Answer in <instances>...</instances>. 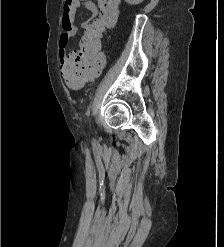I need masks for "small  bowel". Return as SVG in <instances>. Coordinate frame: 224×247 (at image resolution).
<instances>
[{"instance_id":"small-bowel-1","label":"small bowel","mask_w":224,"mask_h":247,"mask_svg":"<svg viewBox=\"0 0 224 247\" xmlns=\"http://www.w3.org/2000/svg\"><path fill=\"white\" fill-rule=\"evenodd\" d=\"M76 5L73 11L69 15L62 14V33L58 40V54L61 62H64L68 56L66 55V47L69 39L76 35L77 26L75 24V14L79 7L83 6L90 12V18L88 21L82 23L83 28H87L90 25V21L94 20L98 15V7L92 0H75Z\"/></svg>"}]
</instances>
